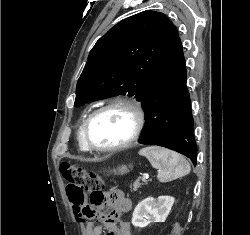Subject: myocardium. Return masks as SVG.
Listing matches in <instances>:
<instances>
[{"instance_id":"obj_1","label":"myocardium","mask_w":250,"mask_h":235,"mask_svg":"<svg viewBox=\"0 0 250 235\" xmlns=\"http://www.w3.org/2000/svg\"><path fill=\"white\" fill-rule=\"evenodd\" d=\"M112 108L125 109L132 115L133 121H134V126L132 129V132H131L130 136L125 141H123L119 144L109 146V147L96 146V145L92 144L91 140H90V135H89L90 125L96 116H98L100 113L107 111L109 109H112ZM144 124H145V115H144V111H143L139 102H137L136 100L127 99V98L113 99V100L99 106L95 110H93L86 118V121H85L84 126H83L84 144L88 148V150L95 151L98 153L117 152V151L126 149L137 142V140L139 139V137L142 133V130L144 128Z\"/></svg>"}]
</instances>
